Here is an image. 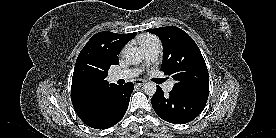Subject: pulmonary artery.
I'll list each match as a JSON object with an SVG mask.
<instances>
[{"instance_id":"pulmonary-artery-1","label":"pulmonary artery","mask_w":276,"mask_h":138,"mask_svg":"<svg viewBox=\"0 0 276 138\" xmlns=\"http://www.w3.org/2000/svg\"><path fill=\"white\" fill-rule=\"evenodd\" d=\"M160 42L159 41H152L144 44L142 46L144 59L147 64L153 63L157 60L159 52H160ZM139 69H128L119 72H115L111 75V79L113 81L119 79H130L139 74ZM174 82L170 81L164 85V91L170 92L173 89Z\"/></svg>"}]
</instances>
